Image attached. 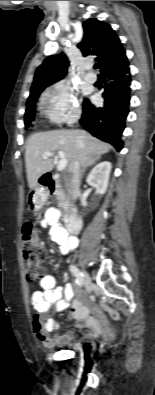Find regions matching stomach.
<instances>
[{"mask_svg": "<svg viewBox=\"0 0 155 395\" xmlns=\"http://www.w3.org/2000/svg\"><path fill=\"white\" fill-rule=\"evenodd\" d=\"M47 197V192L36 186L30 191L29 194V202L31 207L34 209H40L44 205Z\"/></svg>", "mask_w": 155, "mask_h": 395, "instance_id": "stomach-1", "label": "stomach"}]
</instances>
